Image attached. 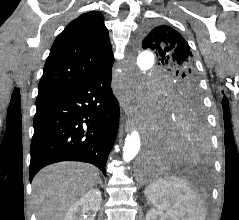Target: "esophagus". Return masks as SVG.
Wrapping results in <instances>:
<instances>
[{"label":"esophagus","instance_id":"34e87169","mask_svg":"<svg viewBox=\"0 0 239 220\" xmlns=\"http://www.w3.org/2000/svg\"><path fill=\"white\" fill-rule=\"evenodd\" d=\"M132 125H133L132 121H131L130 119H128L127 122H126V128H127V130H128L129 128H131Z\"/></svg>","mask_w":239,"mask_h":220}]
</instances>
